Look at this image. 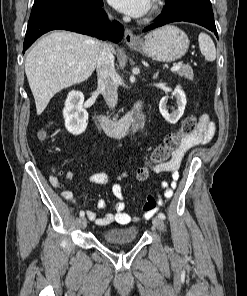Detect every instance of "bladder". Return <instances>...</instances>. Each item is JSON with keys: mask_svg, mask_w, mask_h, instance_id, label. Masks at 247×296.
<instances>
[{"mask_svg": "<svg viewBox=\"0 0 247 296\" xmlns=\"http://www.w3.org/2000/svg\"><path fill=\"white\" fill-rule=\"evenodd\" d=\"M137 236V226H125L104 231L103 240L106 243H127L136 240Z\"/></svg>", "mask_w": 247, "mask_h": 296, "instance_id": "1", "label": "bladder"}]
</instances>
